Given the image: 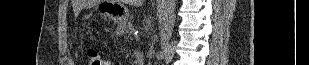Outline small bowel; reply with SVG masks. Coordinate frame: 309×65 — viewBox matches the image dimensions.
<instances>
[{
    "mask_svg": "<svg viewBox=\"0 0 309 65\" xmlns=\"http://www.w3.org/2000/svg\"><path fill=\"white\" fill-rule=\"evenodd\" d=\"M103 65H112V62L108 59H104Z\"/></svg>",
    "mask_w": 309,
    "mask_h": 65,
    "instance_id": "1",
    "label": "small bowel"
}]
</instances>
